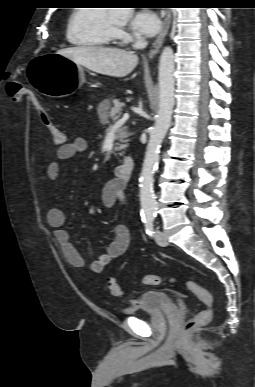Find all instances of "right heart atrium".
I'll list each match as a JSON object with an SVG mask.
<instances>
[{"label": "right heart atrium", "mask_w": 255, "mask_h": 387, "mask_svg": "<svg viewBox=\"0 0 255 387\" xmlns=\"http://www.w3.org/2000/svg\"><path fill=\"white\" fill-rule=\"evenodd\" d=\"M115 34L116 36L119 38V39H122V40H128L130 39V36L128 33H126L125 31L121 30V29H117L115 31Z\"/></svg>", "instance_id": "d8ad5b80"}]
</instances>
